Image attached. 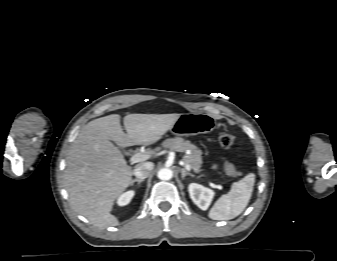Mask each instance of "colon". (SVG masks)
I'll return each mask as SVG.
<instances>
[{
	"instance_id": "5ec220e1",
	"label": "colon",
	"mask_w": 337,
	"mask_h": 261,
	"mask_svg": "<svg viewBox=\"0 0 337 261\" xmlns=\"http://www.w3.org/2000/svg\"><path fill=\"white\" fill-rule=\"evenodd\" d=\"M218 143L222 148H230L234 143V136L230 133H221L218 137ZM224 170L228 176L233 178H237L242 175V172L229 162L224 164Z\"/></svg>"
}]
</instances>
